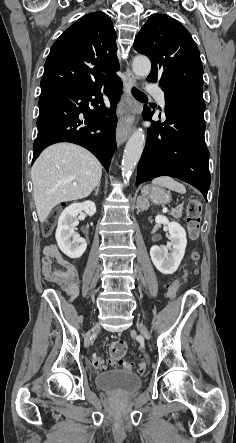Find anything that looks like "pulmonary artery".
Here are the masks:
<instances>
[{
	"label": "pulmonary artery",
	"instance_id": "e3ab8cb5",
	"mask_svg": "<svg viewBox=\"0 0 236 443\" xmlns=\"http://www.w3.org/2000/svg\"><path fill=\"white\" fill-rule=\"evenodd\" d=\"M156 98L158 100V103L161 107L162 110H164L165 107V97H164V93L162 91H158L156 92Z\"/></svg>",
	"mask_w": 236,
	"mask_h": 443
}]
</instances>
